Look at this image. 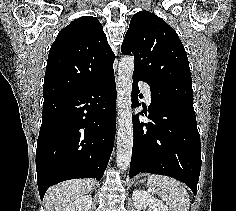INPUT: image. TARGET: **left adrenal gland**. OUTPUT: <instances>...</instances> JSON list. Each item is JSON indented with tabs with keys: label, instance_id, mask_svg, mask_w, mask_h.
<instances>
[{
	"label": "left adrenal gland",
	"instance_id": "obj_1",
	"mask_svg": "<svg viewBox=\"0 0 236 211\" xmlns=\"http://www.w3.org/2000/svg\"><path fill=\"white\" fill-rule=\"evenodd\" d=\"M141 181H137L135 184H138V183H140Z\"/></svg>",
	"mask_w": 236,
	"mask_h": 211
}]
</instances>
